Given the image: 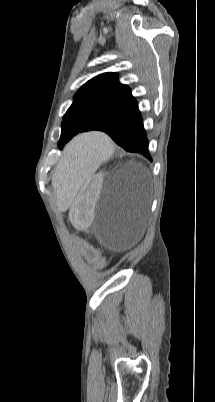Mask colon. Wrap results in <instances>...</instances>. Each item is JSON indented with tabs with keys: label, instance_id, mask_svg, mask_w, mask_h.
Listing matches in <instances>:
<instances>
[{
	"label": "colon",
	"instance_id": "5ec220e1",
	"mask_svg": "<svg viewBox=\"0 0 215 402\" xmlns=\"http://www.w3.org/2000/svg\"><path fill=\"white\" fill-rule=\"evenodd\" d=\"M66 241L75 244V248L80 251V257L83 260H99L102 262L105 258L104 251H95V245L89 243L87 239H82L81 236H69Z\"/></svg>",
	"mask_w": 215,
	"mask_h": 402
}]
</instances>
